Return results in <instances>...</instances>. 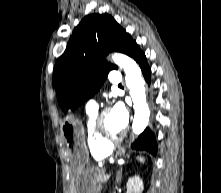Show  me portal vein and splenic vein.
Returning a JSON list of instances; mask_svg holds the SVG:
<instances>
[{"label": "portal vein and splenic vein", "mask_w": 221, "mask_h": 193, "mask_svg": "<svg viewBox=\"0 0 221 193\" xmlns=\"http://www.w3.org/2000/svg\"><path fill=\"white\" fill-rule=\"evenodd\" d=\"M110 178V174H105L102 178L103 182H107Z\"/></svg>", "instance_id": "obj_1"}]
</instances>
